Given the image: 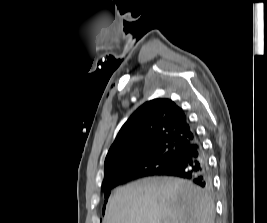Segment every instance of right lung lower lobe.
Segmentation results:
<instances>
[{"label": "right lung lower lobe", "mask_w": 267, "mask_h": 223, "mask_svg": "<svg viewBox=\"0 0 267 223\" xmlns=\"http://www.w3.org/2000/svg\"><path fill=\"white\" fill-rule=\"evenodd\" d=\"M154 175L179 177L189 180L200 187L209 188L210 177L208 160L197 136L195 141L182 152L180 157L164 171L153 175L141 171H131L111 176L103 182L102 189L107 193L110 192L112 188L126 183L127 181Z\"/></svg>", "instance_id": "1"}]
</instances>
